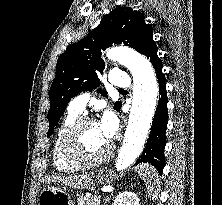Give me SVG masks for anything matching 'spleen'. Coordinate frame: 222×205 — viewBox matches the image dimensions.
Wrapping results in <instances>:
<instances>
[{
	"label": "spleen",
	"mask_w": 222,
	"mask_h": 205,
	"mask_svg": "<svg viewBox=\"0 0 222 205\" xmlns=\"http://www.w3.org/2000/svg\"><path fill=\"white\" fill-rule=\"evenodd\" d=\"M137 171L147 184L146 188L148 194L155 197L160 184L159 175L156 169L153 166L144 163L138 166Z\"/></svg>",
	"instance_id": "spleen-1"
}]
</instances>
